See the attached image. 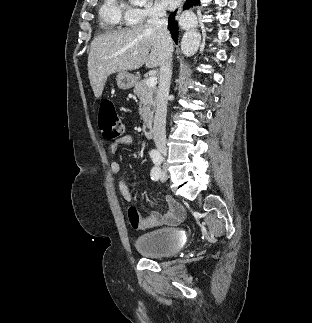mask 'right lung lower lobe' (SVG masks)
I'll list each match as a JSON object with an SVG mask.
<instances>
[{
    "instance_id": "98d812e1",
    "label": "right lung lower lobe",
    "mask_w": 312,
    "mask_h": 323,
    "mask_svg": "<svg viewBox=\"0 0 312 323\" xmlns=\"http://www.w3.org/2000/svg\"><path fill=\"white\" fill-rule=\"evenodd\" d=\"M200 3V0H187L184 8L188 9L192 6L198 5ZM175 12L172 13L168 18V28L173 36V39L177 42L178 40V28H177V22L174 20Z\"/></svg>"
}]
</instances>
